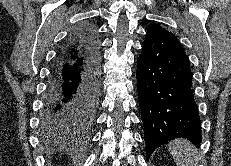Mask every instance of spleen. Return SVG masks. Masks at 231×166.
I'll list each match as a JSON object with an SVG mask.
<instances>
[{"mask_svg":"<svg viewBox=\"0 0 231 166\" xmlns=\"http://www.w3.org/2000/svg\"><path fill=\"white\" fill-rule=\"evenodd\" d=\"M169 150L178 166H196V150L188 140L180 138L171 141Z\"/></svg>","mask_w":231,"mask_h":166,"instance_id":"spleen-1","label":"spleen"}]
</instances>
